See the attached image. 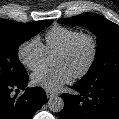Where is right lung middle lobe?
I'll use <instances>...</instances> for the list:
<instances>
[{
	"label": "right lung middle lobe",
	"mask_w": 119,
	"mask_h": 119,
	"mask_svg": "<svg viewBox=\"0 0 119 119\" xmlns=\"http://www.w3.org/2000/svg\"><path fill=\"white\" fill-rule=\"evenodd\" d=\"M52 21L20 23L0 19V83L17 82L27 75L18 59V48Z\"/></svg>",
	"instance_id": "right-lung-middle-lobe-1"
}]
</instances>
